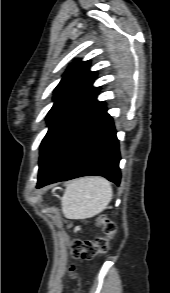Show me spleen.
Wrapping results in <instances>:
<instances>
[{"mask_svg":"<svg viewBox=\"0 0 170 293\" xmlns=\"http://www.w3.org/2000/svg\"><path fill=\"white\" fill-rule=\"evenodd\" d=\"M108 180L84 177L72 181L62 198V209L69 219H86L101 213L112 199Z\"/></svg>","mask_w":170,"mask_h":293,"instance_id":"obj_1","label":"spleen"}]
</instances>
